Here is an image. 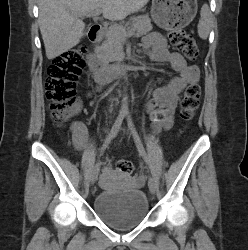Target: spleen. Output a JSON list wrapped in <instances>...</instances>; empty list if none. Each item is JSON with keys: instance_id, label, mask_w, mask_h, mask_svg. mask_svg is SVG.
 I'll return each instance as SVG.
<instances>
[{"instance_id": "spleen-1", "label": "spleen", "mask_w": 248, "mask_h": 250, "mask_svg": "<svg viewBox=\"0 0 248 250\" xmlns=\"http://www.w3.org/2000/svg\"><path fill=\"white\" fill-rule=\"evenodd\" d=\"M200 20L198 23V35L201 39H207L210 32V24L212 19V14L207 4H204L200 11Z\"/></svg>"}]
</instances>
